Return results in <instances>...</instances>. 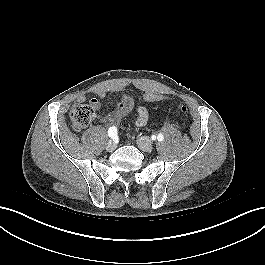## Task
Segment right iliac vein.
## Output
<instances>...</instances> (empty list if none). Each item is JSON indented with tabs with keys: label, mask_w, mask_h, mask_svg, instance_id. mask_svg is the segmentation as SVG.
Returning a JSON list of instances; mask_svg holds the SVG:
<instances>
[{
	"label": "right iliac vein",
	"mask_w": 265,
	"mask_h": 265,
	"mask_svg": "<svg viewBox=\"0 0 265 265\" xmlns=\"http://www.w3.org/2000/svg\"><path fill=\"white\" fill-rule=\"evenodd\" d=\"M117 147V144L114 141H109L106 145V150L108 152H113Z\"/></svg>",
	"instance_id": "right-iliac-vein-1"
}]
</instances>
